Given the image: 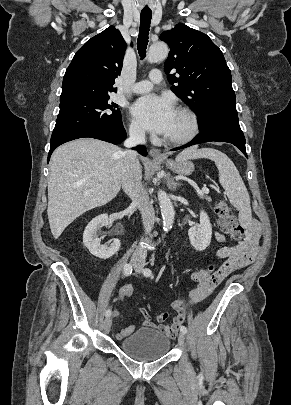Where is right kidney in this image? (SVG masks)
Instances as JSON below:
<instances>
[{
    "instance_id": "right-kidney-1",
    "label": "right kidney",
    "mask_w": 291,
    "mask_h": 405,
    "mask_svg": "<svg viewBox=\"0 0 291 405\" xmlns=\"http://www.w3.org/2000/svg\"><path fill=\"white\" fill-rule=\"evenodd\" d=\"M108 222V215L101 214L89 222L83 233L84 245L92 255L100 259H108L112 257L119 250L121 245L119 239H114L109 247L100 243V239L97 237V231L99 228L107 226Z\"/></svg>"
}]
</instances>
